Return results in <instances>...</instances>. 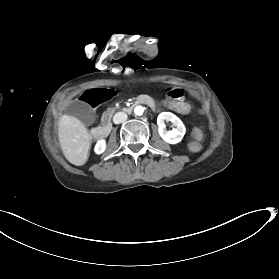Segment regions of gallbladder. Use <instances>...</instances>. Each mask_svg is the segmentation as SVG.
<instances>
[{"label":"gallbladder","mask_w":279,"mask_h":279,"mask_svg":"<svg viewBox=\"0 0 279 279\" xmlns=\"http://www.w3.org/2000/svg\"><path fill=\"white\" fill-rule=\"evenodd\" d=\"M61 113L64 116H69L72 113L76 115L79 122L88 126L95 124L97 120L95 113L89 110L88 105L85 103L81 104V102L77 100L70 102L69 105L62 108Z\"/></svg>","instance_id":"1"}]
</instances>
